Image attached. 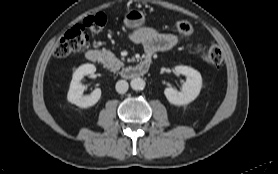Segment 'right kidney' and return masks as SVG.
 Here are the masks:
<instances>
[{
  "mask_svg": "<svg viewBox=\"0 0 278 174\" xmlns=\"http://www.w3.org/2000/svg\"><path fill=\"white\" fill-rule=\"evenodd\" d=\"M96 71L93 64H83L73 73L67 99L70 103L81 108L94 106L101 97V89L96 88L90 95L83 96L85 87L81 84V80L85 75H92Z\"/></svg>",
  "mask_w": 278,
  "mask_h": 174,
  "instance_id": "1",
  "label": "right kidney"
}]
</instances>
